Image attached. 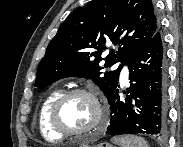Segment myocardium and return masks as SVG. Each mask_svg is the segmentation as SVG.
<instances>
[{
  "label": "myocardium",
  "instance_id": "1",
  "mask_svg": "<svg viewBox=\"0 0 183 147\" xmlns=\"http://www.w3.org/2000/svg\"><path fill=\"white\" fill-rule=\"evenodd\" d=\"M76 95H83L88 97L94 106L95 109V119L91 125L81 130H72L67 128L60 119V111L63 104L71 97ZM105 118V110L103 104L97 94L89 89L85 88H74L62 92L58 98L54 101L51 106L49 113V122L51 127L58 132L59 134L65 136H82L87 133L94 131L104 120Z\"/></svg>",
  "mask_w": 183,
  "mask_h": 147
}]
</instances>
